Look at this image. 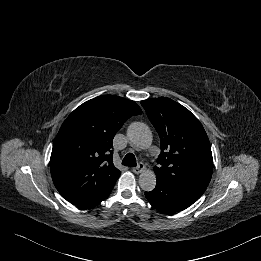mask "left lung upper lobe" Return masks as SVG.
<instances>
[{"mask_svg":"<svg viewBox=\"0 0 261 261\" xmlns=\"http://www.w3.org/2000/svg\"><path fill=\"white\" fill-rule=\"evenodd\" d=\"M141 104L161 141L159 167L154 168L157 181L204 193L211 180L213 158L200 121L169 98L147 99Z\"/></svg>","mask_w":261,"mask_h":261,"instance_id":"left-lung-upper-lobe-1","label":"left lung upper lobe"}]
</instances>
